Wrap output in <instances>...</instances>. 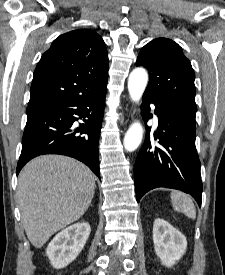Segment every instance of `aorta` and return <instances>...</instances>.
Instances as JSON below:
<instances>
[{"mask_svg":"<svg viewBox=\"0 0 225 275\" xmlns=\"http://www.w3.org/2000/svg\"><path fill=\"white\" fill-rule=\"evenodd\" d=\"M148 73L144 68H135L128 78V91L131 99L138 102L147 86ZM143 137V127L140 122H134L124 137V148L132 152L138 148Z\"/></svg>","mask_w":225,"mask_h":275,"instance_id":"obj_1","label":"aorta"}]
</instances>
